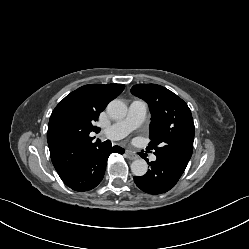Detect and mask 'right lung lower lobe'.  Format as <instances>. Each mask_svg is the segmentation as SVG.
<instances>
[{
	"label": "right lung lower lobe",
	"mask_w": 249,
	"mask_h": 249,
	"mask_svg": "<svg viewBox=\"0 0 249 249\" xmlns=\"http://www.w3.org/2000/svg\"><path fill=\"white\" fill-rule=\"evenodd\" d=\"M113 152L124 153V149L114 146L107 149L100 144L92 148L87 155L76 164L73 170L62 181L75 191H88L96 187L102 180L107 159Z\"/></svg>",
	"instance_id": "98d812e1"
}]
</instances>
